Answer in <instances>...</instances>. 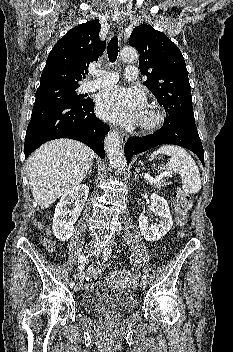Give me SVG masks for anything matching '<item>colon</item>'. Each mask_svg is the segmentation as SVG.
Instances as JSON below:
<instances>
[{
	"label": "colon",
	"mask_w": 233,
	"mask_h": 352,
	"mask_svg": "<svg viewBox=\"0 0 233 352\" xmlns=\"http://www.w3.org/2000/svg\"><path fill=\"white\" fill-rule=\"evenodd\" d=\"M173 206L175 210L176 223L179 227L186 225L188 220V213L191 208V197L188 193L178 190L174 194ZM45 245L48 249H52L53 244L51 241H46ZM104 271L102 264H95L88 269L87 280H96L101 277Z\"/></svg>",
	"instance_id": "5ec220e1"
}]
</instances>
